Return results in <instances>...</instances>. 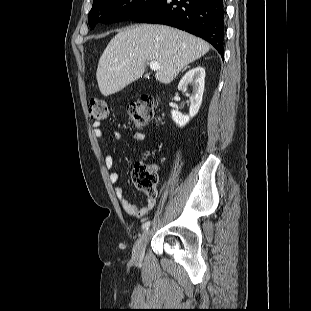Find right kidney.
Listing matches in <instances>:
<instances>
[{
    "mask_svg": "<svg viewBox=\"0 0 311 311\" xmlns=\"http://www.w3.org/2000/svg\"><path fill=\"white\" fill-rule=\"evenodd\" d=\"M204 79L205 69L198 66L189 70L179 82V90L185 89L187 85L192 84L189 115H183L179 112L177 107L171 111L172 119L179 127H184L189 122L190 118L198 113L204 92Z\"/></svg>",
    "mask_w": 311,
    "mask_h": 311,
    "instance_id": "right-kidney-1",
    "label": "right kidney"
}]
</instances>
